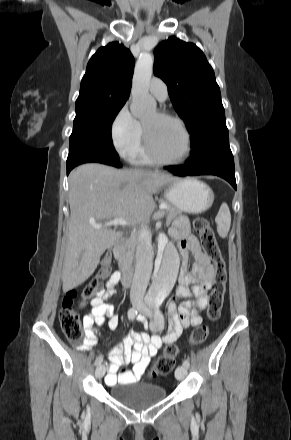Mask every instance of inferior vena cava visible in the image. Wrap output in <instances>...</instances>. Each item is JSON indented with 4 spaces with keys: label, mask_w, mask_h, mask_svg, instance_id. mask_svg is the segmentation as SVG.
Here are the masks:
<instances>
[{
    "label": "inferior vena cava",
    "mask_w": 291,
    "mask_h": 440,
    "mask_svg": "<svg viewBox=\"0 0 291 440\" xmlns=\"http://www.w3.org/2000/svg\"><path fill=\"white\" fill-rule=\"evenodd\" d=\"M152 267L153 258L151 253V238L147 231V227L142 225L141 234L136 248L135 272L130 290V299L132 303H143Z\"/></svg>",
    "instance_id": "602c4592"
}]
</instances>
